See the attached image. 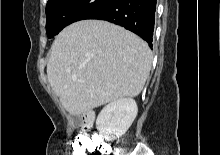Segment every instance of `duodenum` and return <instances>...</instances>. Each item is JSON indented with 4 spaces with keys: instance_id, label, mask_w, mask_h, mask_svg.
I'll use <instances>...</instances> for the list:
<instances>
[{
    "instance_id": "410a0bca",
    "label": "duodenum",
    "mask_w": 220,
    "mask_h": 155,
    "mask_svg": "<svg viewBox=\"0 0 220 155\" xmlns=\"http://www.w3.org/2000/svg\"><path fill=\"white\" fill-rule=\"evenodd\" d=\"M82 123H83V127L85 129L90 128L92 126V123H93V114L91 112L85 113L84 116H83Z\"/></svg>"
}]
</instances>
